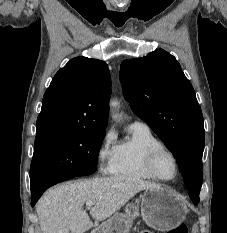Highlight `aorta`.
<instances>
[{
    "mask_svg": "<svg viewBox=\"0 0 227 233\" xmlns=\"http://www.w3.org/2000/svg\"><path fill=\"white\" fill-rule=\"evenodd\" d=\"M111 106H112L113 108H116V107L118 106V102L115 101V100H112V101H111ZM114 118H115V116H114Z\"/></svg>",
    "mask_w": 227,
    "mask_h": 233,
    "instance_id": "1",
    "label": "aorta"
}]
</instances>
